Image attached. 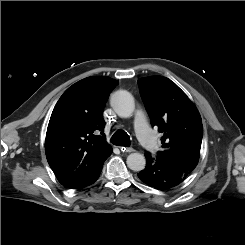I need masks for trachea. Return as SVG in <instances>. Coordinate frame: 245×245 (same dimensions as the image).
I'll use <instances>...</instances> for the list:
<instances>
[{"label":"trachea","mask_w":245,"mask_h":245,"mask_svg":"<svg viewBox=\"0 0 245 245\" xmlns=\"http://www.w3.org/2000/svg\"><path fill=\"white\" fill-rule=\"evenodd\" d=\"M110 141L116 146L129 147L131 144L130 137L124 130H117Z\"/></svg>","instance_id":"trachea-1"}]
</instances>
